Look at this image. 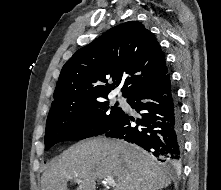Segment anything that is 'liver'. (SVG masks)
Instances as JSON below:
<instances>
[{"instance_id": "6515ba94", "label": "liver", "mask_w": 221, "mask_h": 190, "mask_svg": "<svg viewBox=\"0 0 221 190\" xmlns=\"http://www.w3.org/2000/svg\"><path fill=\"white\" fill-rule=\"evenodd\" d=\"M112 177L113 190H160L170 178L151 156L125 141L93 138L72 145L52 160L41 178L42 190H68L69 180L79 179L76 190H96V180Z\"/></svg>"}]
</instances>
